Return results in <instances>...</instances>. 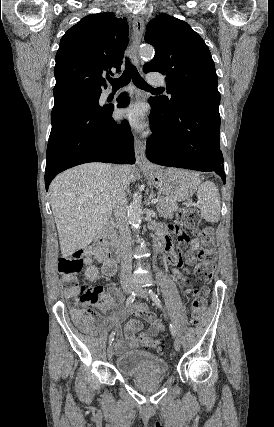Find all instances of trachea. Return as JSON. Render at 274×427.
Masks as SVG:
<instances>
[{
    "mask_svg": "<svg viewBox=\"0 0 274 427\" xmlns=\"http://www.w3.org/2000/svg\"><path fill=\"white\" fill-rule=\"evenodd\" d=\"M132 80L134 85L142 90H162L161 87L158 89H153L150 85H148L145 80L139 75L138 70L134 65H132L129 61L126 62L125 70L121 77L112 78L109 80L112 87L117 89L120 87H125Z\"/></svg>",
    "mask_w": 274,
    "mask_h": 427,
    "instance_id": "obj_1",
    "label": "trachea"
}]
</instances>
